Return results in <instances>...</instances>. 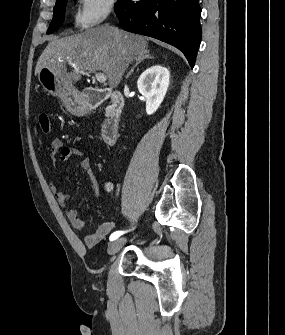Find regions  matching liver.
I'll return each mask as SVG.
<instances>
[{
	"label": "liver",
	"mask_w": 285,
	"mask_h": 335,
	"mask_svg": "<svg viewBox=\"0 0 285 335\" xmlns=\"http://www.w3.org/2000/svg\"><path fill=\"white\" fill-rule=\"evenodd\" d=\"M147 44L142 36L124 30L110 26L91 28L82 34L51 40L37 62L35 74L47 66L61 76L63 68L70 64L73 70L64 78L70 86L86 72H103L110 88H117L129 64L138 60L139 54H149Z\"/></svg>",
	"instance_id": "1"
}]
</instances>
